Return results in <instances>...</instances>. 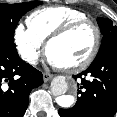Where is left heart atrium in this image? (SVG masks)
Here are the masks:
<instances>
[{
  "label": "left heart atrium",
  "mask_w": 117,
  "mask_h": 117,
  "mask_svg": "<svg viewBox=\"0 0 117 117\" xmlns=\"http://www.w3.org/2000/svg\"><path fill=\"white\" fill-rule=\"evenodd\" d=\"M48 61L51 66L61 68V66L57 64L55 61H53L50 57H48Z\"/></svg>",
  "instance_id": "1"
}]
</instances>
